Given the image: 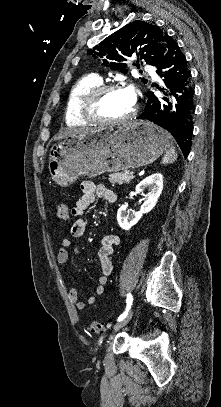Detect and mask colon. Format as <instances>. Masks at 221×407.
<instances>
[{
  "label": "colon",
  "instance_id": "colon-1",
  "mask_svg": "<svg viewBox=\"0 0 221 407\" xmlns=\"http://www.w3.org/2000/svg\"><path fill=\"white\" fill-rule=\"evenodd\" d=\"M72 211L66 205H59L57 208V218L61 226L70 222ZM112 322L93 321L88 326V331L94 334H104L111 329Z\"/></svg>",
  "mask_w": 221,
  "mask_h": 407
}]
</instances>
